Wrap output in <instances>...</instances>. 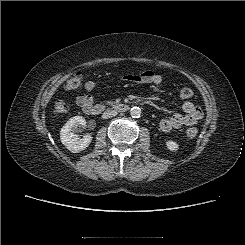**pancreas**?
Here are the masks:
<instances>
[{"label":"pancreas","instance_id":"obj_1","mask_svg":"<svg viewBox=\"0 0 245 245\" xmlns=\"http://www.w3.org/2000/svg\"><path fill=\"white\" fill-rule=\"evenodd\" d=\"M105 104H106V105H111V106H112V105H114V102H113V101H106Z\"/></svg>","mask_w":245,"mask_h":245}]
</instances>
